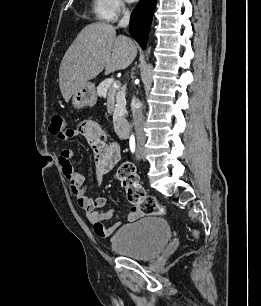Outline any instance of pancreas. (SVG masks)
I'll use <instances>...</instances> for the list:
<instances>
[{"label":"pancreas","instance_id":"pancreas-1","mask_svg":"<svg viewBox=\"0 0 261 306\" xmlns=\"http://www.w3.org/2000/svg\"><path fill=\"white\" fill-rule=\"evenodd\" d=\"M113 84L114 80L112 78L105 79L98 85L97 94L99 96L107 97V99L116 97L114 117L119 118L126 114L125 89L119 87L115 88Z\"/></svg>","mask_w":261,"mask_h":306}]
</instances>
